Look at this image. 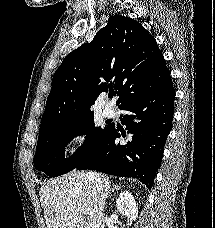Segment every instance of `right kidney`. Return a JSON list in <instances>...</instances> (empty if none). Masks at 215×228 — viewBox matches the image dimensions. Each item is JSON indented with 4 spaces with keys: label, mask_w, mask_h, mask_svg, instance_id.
Returning a JSON list of instances; mask_svg holds the SVG:
<instances>
[{
    "label": "right kidney",
    "mask_w": 215,
    "mask_h": 228,
    "mask_svg": "<svg viewBox=\"0 0 215 228\" xmlns=\"http://www.w3.org/2000/svg\"><path fill=\"white\" fill-rule=\"evenodd\" d=\"M116 208L122 216L128 218L130 222H135L138 218V204L136 200H134L131 192L125 190L120 194L118 200H116Z\"/></svg>",
    "instance_id": "obj_1"
}]
</instances>
